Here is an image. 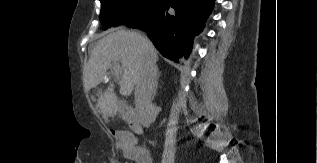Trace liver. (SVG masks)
Instances as JSON below:
<instances>
[{
	"label": "liver",
	"mask_w": 317,
	"mask_h": 163,
	"mask_svg": "<svg viewBox=\"0 0 317 163\" xmlns=\"http://www.w3.org/2000/svg\"><path fill=\"white\" fill-rule=\"evenodd\" d=\"M145 39L140 33L128 30H117L101 38L92 50L85 67L84 88L89 91L99 85L111 63L120 62L119 92L123 96H130L139 80L145 60ZM151 49L157 60V52L152 44ZM114 88V83H110L103 93L97 94V100L91 97L93 101H97L96 109L102 114L105 122L109 121V117L114 118L119 110Z\"/></svg>",
	"instance_id": "1"
}]
</instances>
